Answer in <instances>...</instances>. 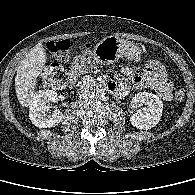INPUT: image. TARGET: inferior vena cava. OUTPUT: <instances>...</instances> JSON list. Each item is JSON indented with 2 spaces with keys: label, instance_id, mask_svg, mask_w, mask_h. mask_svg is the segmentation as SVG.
Masks as SVG:
<instances>
[{
  "label": "inferior vena cava",
  "instance_id": "inferior-vena-cava-1",
  "mask_svg": "<svg viewBox=\"0 0 195 195\" xmlns=\"http://www.w3.org/2000/svg\"><path fill=\"white\" fill-rule=\"evenodd\" d=\"M94 95L93 91L91 89H82L80 92V98L82 99H88Z\"/></svg>",
  "mask_w": 195,
  "mask_h": 195
}]
</instances>
